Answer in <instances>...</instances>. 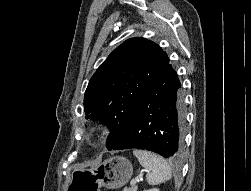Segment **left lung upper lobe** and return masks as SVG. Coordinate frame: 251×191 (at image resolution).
I'll list each match as a JSON object with an SVG mask.
<instances>
[{
  "label": "left lung upper lobe",
  "mask_w": 251,
  "mask_h": 191,
  "mask_svg": "<svg viewBox=\"0 0 251 191\" xmlns=\"http://www.w3.org/2000/svg\"><path fill=\"white\" fill-rule=\"evenodd\" d=\"M169 64L167 54L144 38L126 40L99 66L84 96L86 119L107 125L110 150L133 111Z\"/></svg>",
  "instance_id": "1"
}]
</instances>
